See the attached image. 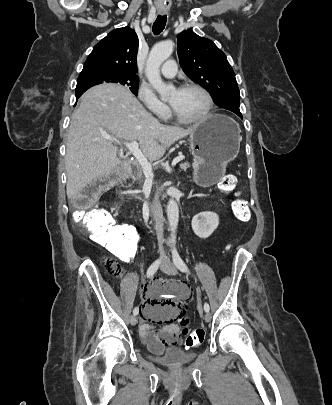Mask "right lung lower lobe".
Listing matches in <instances>:
<instances>
[{
    "label": "right lung lower lobe",
    "mask_w": 332,
    "mask_h": 405,
    "mask_svg": "<svg viewBox=\"0 0 332 405\" xmlns=\"http://www.w3.org/2000/svg\"><path fill=\"white\" fill-rule=\"evenodd\" d=\"M84 92L76 93V99H78Z\"/></svg>",
    "instance_id": "right-lung-lower-lobe-1"
}]
</instances>
